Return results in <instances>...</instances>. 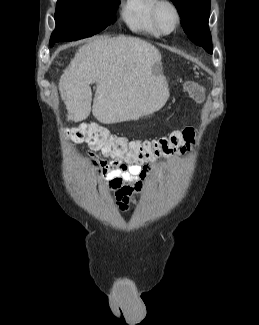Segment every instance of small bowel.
<instances>
[{
    "label": "small bowel",
    "instance_id": "c3829d8e",
    "mask_svg": "<svg viewBox=\"0 0 259 325\" xmlns=\"http://www.w3.org/2000/svg\"><path fill=\"white\" fill-rule=\"evenodd\" d=\"M187 150L189 148H175L163 155L166 157L179 156ZM157 157L140 163H130L115 159L96 160L92 151L88 153L89 165L95 169L96 175L104 179L106 188L116 191V206L122 212L127 211L129 205L134 202L133 196L142 190L149 177V163Z\"/></svg>",
    "mask_w": 259,
    "mask_h": 325
}]
</instances>
